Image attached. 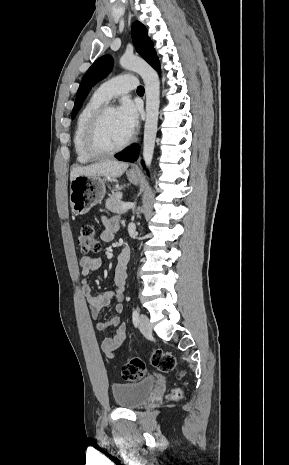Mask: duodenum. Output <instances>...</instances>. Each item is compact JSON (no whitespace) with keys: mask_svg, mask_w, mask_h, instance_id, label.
<instances>
[{"mask_svg":"<svg viewBox=\"0 0 289 465\" xmlns=\"http://www.w3.org/2000/svg\"><path fill=\"white\" fill-rule=\"evenodd\" d=\"M130 257V251L128 247H125L120 253L119 259L122 263H127Z\"/></svg>","mask_w":289,"mask_h":465,"instance_id":"1","label":"duodenum"}]
</instances>
